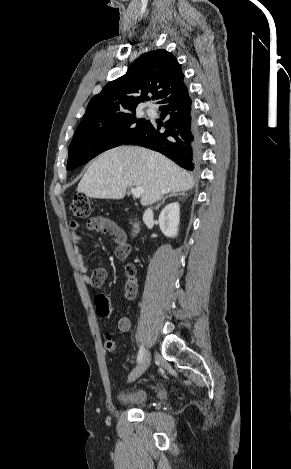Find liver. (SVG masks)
<instances>
[{"label": "liver", "instance_id": "1", "mask_svg": "<svg viewBox=\"0 0 291 469\" xmlns=\"http://www.w3.org/2000/svg\"><path fill=\"white\" fill-rule=\"evenodd\" d=\"M129 186L143 188V206L169 192L193 188L194 179L162 154L137 146H120L92 162L77 191L90 198L123 199Z\"/></svg>", "mask_w": 291, "mask_h": 469}]
</instances>
